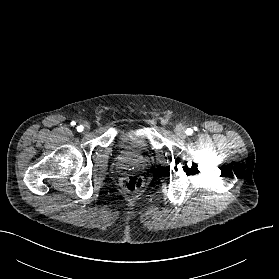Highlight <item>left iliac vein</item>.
Listing matches in <instances>:
<instances>
[{"label":"left iliac vein","mask_w":279,"mask_h":279,"mask_svg":"<svg viewBox=\"0 0 279 279\" xmlns=\"http://www.w3.org/2000/svg\"><path fill=\"white\" fill-rule=\"evenodd\" d=\"M177 136L184 138L186 136L185 128L182 125H177L175 128Z\"/></svg>","instance_id":"obj_1"}]
</instances>
